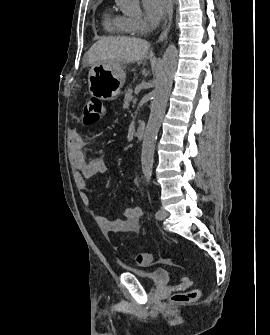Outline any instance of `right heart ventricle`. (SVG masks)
Segmentation results:
<instances>
[{"instance_id": "1", "label": "right heart ventricle", "mask_w": 270, "mask_h": 335, "mask_svg": "<svg viewBox=\"0 0 270 335\" xmlns=\"http://www.w3.org/2000/svg\"><path fill=\"white\" fill-rule=\"evenodd\" d=\"M103 26L109 33L127 34L132 32L131 19L120 13L105 12L103 15Z\"/></svg>"}]
</instances>
